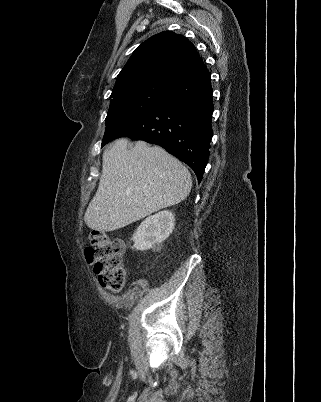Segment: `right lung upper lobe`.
I'll use <instances>...</instances> for the list:
<instances>
[{
    "instance_id": "1",
    "label": "right lung upper lobe",
    "mask_w": 321,
    "mask_h": 402,
    "mask_svg": "<svg viewBox=\"0 0 321 402\" xmlns=\"http://www.w3.org/2000/svg\"><path fill=\"white\" fill-rule=\"evenodd\" d=\"M204 68L190 41L171 31L161 32L133 52L119 73L112 93L148 83L172 86Z\"/></svg>"
}]
</instances>
